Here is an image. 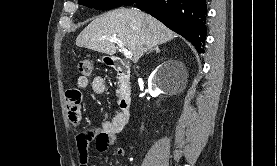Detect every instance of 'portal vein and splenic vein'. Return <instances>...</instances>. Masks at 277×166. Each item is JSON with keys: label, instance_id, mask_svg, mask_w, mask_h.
Returning a JSON list of instances; mask_svg holds the SVG:
<instances>
[{"label": "portal vein and splenic vein", "instance_id": "obj_1", "mask_svg": "<svg viewBox=\"0 0 277 166\" xmlns=\"http://www.w3.org/2000/svg\"><path fill=\"white\" fill-rule=\"evenodd\" d=\"M106 38H107L106 36L103 37V39H106ZM109 39L110 41L116 43L121 48V51L124 53V56L127 59L132 58V52L124 47V44L122 43L121 40L117 39L116 37H110Z\"/></svg>", "mask_w": 277, "mask_h": 166}]
</instances>
